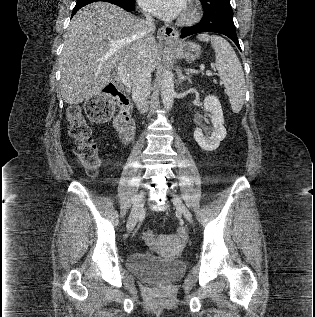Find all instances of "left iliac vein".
I'll return each mask as SVG.
<instances>
[{
	"label": "left iliac vein",
	"instance_id": "obj_1",
	"mask_svg": "<svg viewBox=\"0 0 315 317\" xmlns=\"http://www.w3.org/2000/svg\"><path fill=\"white\" fill-rule=\"evenodd\" d=\"M172 201L176 209L183 215V217L189 222L192 223V215L186 205L182 202L181 198L173 194L172 195Z\"/></svg>",
	"mask_w": 315,
	"mask_h": 317
}]
</instances>
